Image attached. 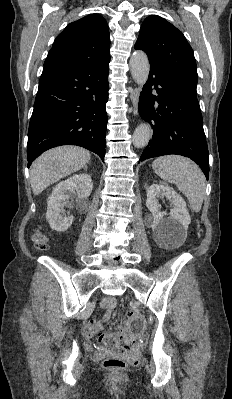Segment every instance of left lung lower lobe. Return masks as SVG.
I'll return each mask as SVG.
<instances>
[{
	"label": "left lung lower lobe",
	"mask_w": 232,
	"mask_h": 399,
	"mask_svg": "<svg viewBox=\"0 0 232 399\" xmlns=\"http://www.w3.org/2000/svg\"><path fill=\"white\" fill-rule=\"evenodd\" d=\"M139 114L153 128L152 140L140 161L167 154L182 155L197 163L208 180L209 154L200 107L152 64L139 99Z\"/></svg>",
	"instance_id": "0a47b994"
}]
</instances>
